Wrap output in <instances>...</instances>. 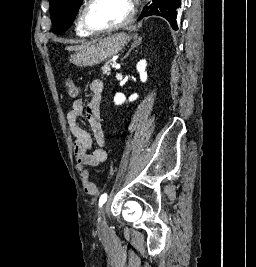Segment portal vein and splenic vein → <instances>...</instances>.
<instances>
[{
    "instance_id": "portal-vein-and-splenic-vein-1",
    "label": "portal vein and splenic vein",
    "mask_w": 256,
    "mask_h": 267,
    "mask_svg": "<svg viewBox=\"0 0 256 267\" xmlns=\"http://www.w3.org/2000/svg\"><path fill=\"white\" fill-rule=\"evenodd\" d=\"M117 63H118L117 61H114V62H113V64H112L113 68H117V67H116V66H117Z\"/></svg>"
}]
</instances>
